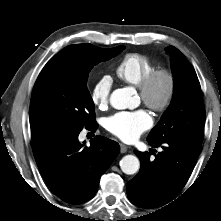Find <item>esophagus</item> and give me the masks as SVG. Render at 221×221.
Instances as JSON below:
<instances>
[{
    "label": "esophagus",
    "mask_w": 221,
    "mask_h": 221,
    "mask_svg": "<svg viewBox=\"0 0 221 221\" xmlns=\"http://www.w3.org/2000/svg\"><path fill=\"white\" fill-rule=\"evenodd\" d=\"M120 151H121V153H126L128 151V147L125 144L121 143L120 144Z\"/></svg>",
    "instance_id": "esophagus-1"
}]
</instances>
